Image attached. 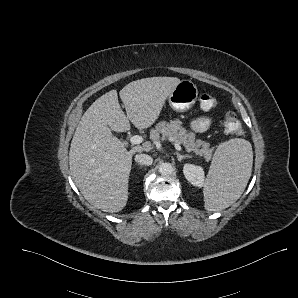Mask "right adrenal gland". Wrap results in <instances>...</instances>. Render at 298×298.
I'll return each instance as SVG.
<instances>
[{
  "label": "right adrenal gland",
  "instance_id": "2a0ac1e0",
  "mask_svg": "<svg viewBox=\"0 0 298 298\" xmlns=\"http://www.w3.org/2000/svg\"><path fill=\"white\" fill-rule=\"evenodd\" d=\"M139 165H140V166H143V164H140V163H139Z\"/></svg>",
  "mask_w": 298,
  "mask_h": 298
}]
</instances>
